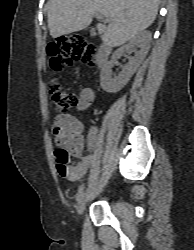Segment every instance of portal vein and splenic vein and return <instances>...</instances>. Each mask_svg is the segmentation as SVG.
<instances>
[{
	"label": "portal vein and splenic vein",
	"instance_id": "18ae733b",
	"mask_svg": "<svg viewBox=\"0 0 194 250\" xmlns=\"http://www.w3.org/2000/svg\"><path fill=\"white\" fill-rule=\"evenodd\" d=\"M95 16H96L98 19H103V18H104L103 15L98 14V13H96Z\"/></svg>",
	"mask_w": 194,
	"mask_h": 250
}]
</instances>
